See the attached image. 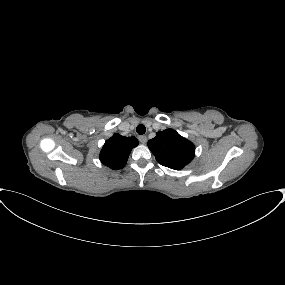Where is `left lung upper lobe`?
<instances>
[{
  "mask_svg": "<svg viewBox=\"0 0 285 285\" xmlns=\"http://www.w3.org/2000/svg\"><path fill=\"white\" fill-rule=\"evenodd\" d=\"M148 147L158 163L176 170L182 169L195 156L193 143L173 129L157 132L156 136L148 141Z\"/></svg>",
  "mask_w": 285,
  "mask_h": 285,
  "instance_id": "1",
  "label": "left lung upper lobe"
}]
</instances>
